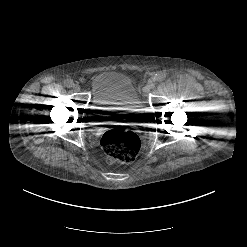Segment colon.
<instances>
[{
    "label": "colon",
    "mask_w": 247,
    "mask_h": 247,
    "mask_svg": "<svg viewBox=\"0 0 247 247\" xmlns=\"http://www.w3.org/2000/svg\"><path fill=\"white\" fill-rule=\"evenodd\" d=\"M110 164L133 162L140 151L138 135L128 128H116L105 132L100 141Z\"/></svg>",
    "instance_id": "1"
}]
</instances>
